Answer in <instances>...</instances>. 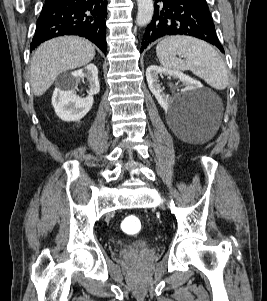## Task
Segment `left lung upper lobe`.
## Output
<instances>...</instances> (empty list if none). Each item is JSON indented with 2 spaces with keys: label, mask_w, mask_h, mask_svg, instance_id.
<instances>
[{
  "label": "left lung upper lobe",
  "mask_w": 267,
  "mask_h": 301,
  "mask_svg": "<svg viewBox=\"0 0 267 301\" xmlns=\"http://www.w3.org/2000/svg\"><path fill=\"white\" fill-rule=\"evenodd\" d=\"M198 1L207 5L206 0H198Z\"/></svg>",
  "instance_id": "1"
}]
</instances>
